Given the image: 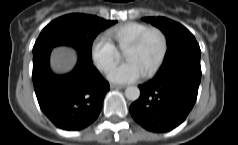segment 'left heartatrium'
Wrapping results in <instances>:
<instances>
[{"instance_id":"39dd6f15","label":"left heart atrium","mask_w":238,"mask_h":145,"mask_svg":"<svg viewBox=\"0 0 238 145\" xmlns=\"http://www.w3.org/2000/svg\"><path fill=\"white\" fill-rule=\"evenodd\" d=\"M143 74L135 62L127 60L110 69L108 78L112 82L128 83L138 80Z\"/></svg>"}]
</instances>
